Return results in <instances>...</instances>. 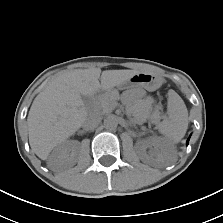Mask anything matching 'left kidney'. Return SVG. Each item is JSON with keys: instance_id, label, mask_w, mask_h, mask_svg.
Instances as JSON below:
<instances>
[{"instance_id": "obj_1", "label": "left kidney", "mask_w": 223, "mask_h": 223, "mask_svg": "<svg viewBox=\"0 0 223 223\" xmlns=\"http://www.w3.org/2000/svg\"><path fill=\"white\" fill-rule=\"evenodd\" d=\"M136 148L144 163L166 167L172 165L176 160L174 145L160 137L139 141Z\"/></svg>"}]
</instances>
